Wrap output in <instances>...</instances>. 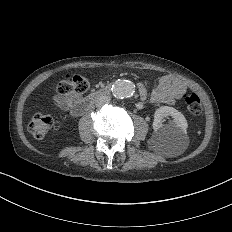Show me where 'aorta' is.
I'll list each match as a JSON object with an SVG mask.
<instances>
[{"mask_svg":"<svg viewBox=\"0 0 232 232\" xmlns=\"http://www.w3.org/2000/svg\"><path fill=\"white\" fill-rule=\"evenodd\" d=\"M112 91L116 98H129L135 92V85L128 80H118L114 83Z\"/></svg>","mask_w":232,"mask_h":232,"instance_id":"762f6f07","label":"aorta"}]
</instances>
